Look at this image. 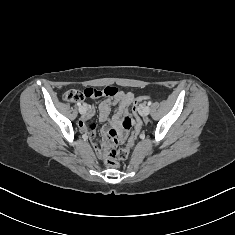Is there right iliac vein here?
Listing matches in <instances>:
<instances>
[{"label": "right iliac vein", "mask_w": 235, "mask_h": 235, "mask_svg": "<svg viewBox=\"0 0 235 235\" xmlns=\"http://www.w3.org/2000/svg\"><path fill=\"white\" fill-rule=\"evenodd\" d=\"M79 112L81 115H85V113H86L85 107L84 106L79 107Z\"/></svg>", "instance_id": "right-iliac-vein-1"}]
</instances>
